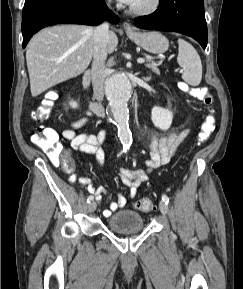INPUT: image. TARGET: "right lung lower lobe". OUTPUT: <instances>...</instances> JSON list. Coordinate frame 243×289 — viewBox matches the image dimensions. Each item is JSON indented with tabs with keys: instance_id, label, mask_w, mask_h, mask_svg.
Here are the masks:
<instances>
[{
	"instance_id": "right-lung-lower-lobe-1",
	"label": "right lung lower lobe",
	"mask_w": 243,
	"mask_h": 289,
	"mask_svg": "<svg viewBox=\"0 0 243 289\" xmlns=\"http://www.w3.org/2000/svg\"><path fill=\"white\" fill-rule=\"evenodd\" d=\"M104 19L118 21L104 0H25L22 13L23 48L36 32L46 26L57 23L94 26Z\"/></svg>"
}]
</instances>
